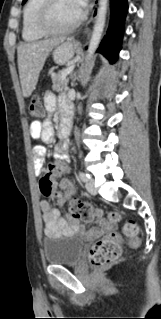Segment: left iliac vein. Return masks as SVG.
Wrapping results in <instances>:
<instances>
[{
	"instance_id": "obj_1",
	"label": "left iliac vein",
	"mask_w": 161,
	"mask_h": 319,
	"mask_svg": "<svg viewBox=\"0 0 161 319\" xmlns=\"http://www.w3.org/2000/svg\"><path fill=\"white\" fill-rule=\"evenodd\" d=\"M94 179L90 178L87 182H86V189L87 191L91 194V195H95L96 194V188L94 186Z\"/></svg>"
}]
</instances>
